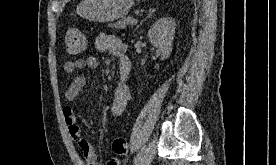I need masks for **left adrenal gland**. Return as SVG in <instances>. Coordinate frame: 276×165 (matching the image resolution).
Returning <instances> with one entry per match:
<instances>
[{"instance_id":"left-adrenal-gland-1","label":"left adrenal gland","mask_w":276,"mask_h":165,"mask_svg":"<svg viewBox=\"0 0 276 165\" xmlns=\"http://www.w3.org/2000/svg\"><path fill=\"white\" fill-rule=\"evenodd\" d=\"M154 11H155V9H149V14L147 15L146 18L150 17V16L153 14ZM146 18H145V19H146ZM145 19H144V20H145ZM144 20H143V21H144ZM143 21H142V22H143ZM142 22H141V24H142ZM137 27H138V26H137Z\"/></svg>"}]
</instances>
